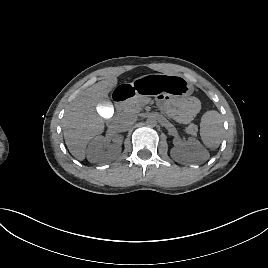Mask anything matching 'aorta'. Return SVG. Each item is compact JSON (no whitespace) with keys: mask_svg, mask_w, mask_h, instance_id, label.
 Instances as JSON below:
<instances>
[{"mask_svg":"<svg viewBox=\"0 0 268 268\" xmlns=\"http://www.w3.org/2000/svg\"><path fill=\"white\" fill-rule=\"evenodd\" d=\"M158 123V118L156 115H150L148 116L147 120H146V124L150 127H154L156 126Z\"/></svg>","mask_w":268,"mask_h":268,"instance_id":"1","label":"aorta"}]
</instances>
